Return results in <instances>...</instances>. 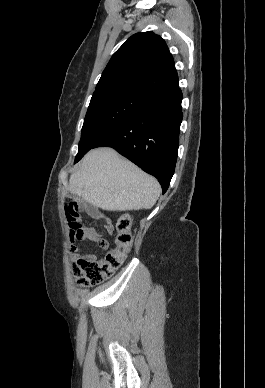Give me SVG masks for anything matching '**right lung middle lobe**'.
Segmentation results:
<instances>
[{
  "instance_id": "1",
  "label": "right lung middle lobe",
  "mask_w": 265,
  "mask_h": 388,
  "mask_svg": "<svg viewBox=\"0 0 265 388\" xmlns=\"http://www.w3.org/2000/svg\"><path fill=\"white\" fill-rule=\"evenodd\" d=\"M145 99L132 93L120 91L94 93L84 119L75 163L101 138L131 116Z\"/></svg>"
}]
</instances>
